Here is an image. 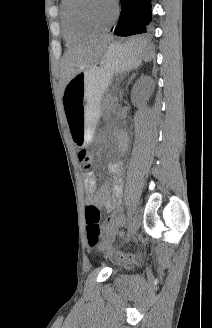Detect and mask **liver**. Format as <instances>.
Wrapping results in <instances>:
<instances>
[{"label":"liver","mask_w":212,"mask_h":328,"mask_svg":"<svg viewBox=\"0 0 212 328\" xmlns=\"http://www.w3.org/2000/svg\"><path fill=\"white\" fill-rule=\"evenodd\" d=\"M108 38L99 39L75 48H70L64 53L63 57V86H65L77 73L82 70L97 68V63L102 57V52Z\"/></svg>","instance_id":"1"}]
</instances>
